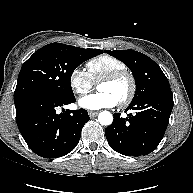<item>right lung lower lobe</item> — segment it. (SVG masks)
I'll use <instances>...</instances> for the list:
<instances>
[{
  "label": "right lung lower lobe",
  "instance_id": "right-lung-lower-lobe-1",
  "mask_svg": "<svg viewBox=\"0 0 193 193\" xmlns=\"http://www.w3.org/2000/svg\"><path fill=\"white\" fill-rule=\"evenodd\" d=\"M73 102L75 97L37 93L15 103L19 131L34 153L44 158H57L76 147L84 124L90 120L87 111L56 113V107Z\"/></svg>",
  "mask_w": 193,
  "mask_h": 193
}]
</instances>
